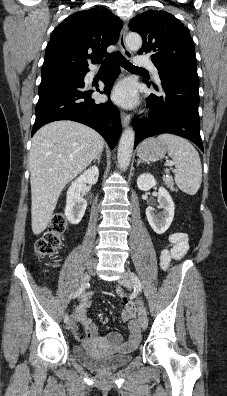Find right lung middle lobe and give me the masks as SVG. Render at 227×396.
Segmentation results:
<instances>
[{
  "label": "right lung middle lobe",
  "instance_id": "obj_1",
  "mask_svg": "<svg viewBox=\"0 0 227 396\" xmlns=\"http://www.w3.org/2000/svg\"><path fill=\"white\" fill-rule=\"evenodd\" d=\"M41 74H42V79L57 75H70V76L80 77L84 75V71L70 70V69H53V70L41 71Z\"/></svg>",
  "mask_w": 227,
  "mask_h": 396
}]
</instances>
